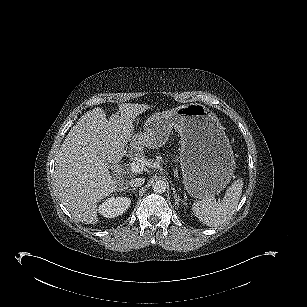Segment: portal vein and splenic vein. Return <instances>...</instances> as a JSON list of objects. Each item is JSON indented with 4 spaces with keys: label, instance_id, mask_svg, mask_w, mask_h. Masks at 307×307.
<instances>
[{
    "label": "portal vein and splenic vein",
    "instance_id": "portal-vein-and-splenic-vein-1",
    "mask_svg": "<svg viewBox=\"0 0 307 307\" xmlns=\"http://www.w3.org/2000/svg\"><path fill=\"white\" fill-rule=\"evenodd\" d=\"M143 169V163L134 162L130 164V171H132L133 173H140Z\"/></svg>",
    "mask_w": 307,
    "mask_h": 307
}]
</instances>
